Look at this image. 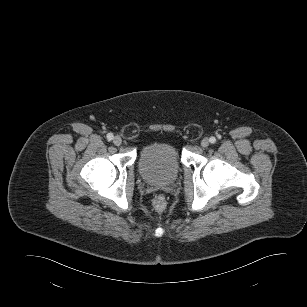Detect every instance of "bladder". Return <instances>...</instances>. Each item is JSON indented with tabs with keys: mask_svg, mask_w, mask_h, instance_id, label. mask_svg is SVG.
<instances>
[{
	"mask_svg": "<svg viewBox=\"0 0 307 307\" xmlns=\"http://www.w3.org/2000/svg\"><path fill=\"white\" fill-rule=\"evenodd\" d=\"M178 148L170 142H154L144 147L138 159L141 177L149 183L173 182L181 170Z\"/></svg>",
	"mask_w": 307,
	"mask_h": 307,
	"instance_id": "1",
	"label": "bladder"
}]
</instances>
